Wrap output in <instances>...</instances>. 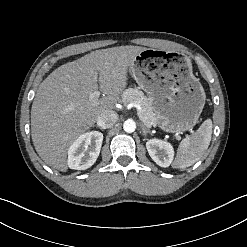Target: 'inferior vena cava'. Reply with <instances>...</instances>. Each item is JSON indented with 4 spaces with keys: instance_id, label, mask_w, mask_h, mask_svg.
I'll return each mask as SVG.
<instances>
[{
    "instance_id": "obj_1",
    "label": "inferior vena cava",
    "mask_w": 247,
    "mask_h": 247,
    "mask_svg": "<svg viewBox=\"0 0 247 247\" xmlns=\"http://www.w3.org/2000/svg\"><path fill=\"white\" fill-rule=\"evenodd\" d=\"M118 120V115L114 111H105L97 118V125L102 129L111 128Z\"/></svg>"
}]
</instances>
